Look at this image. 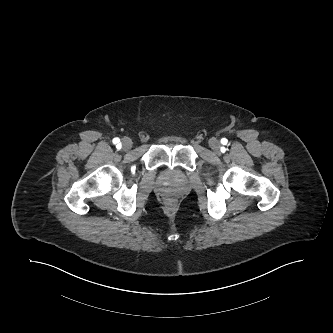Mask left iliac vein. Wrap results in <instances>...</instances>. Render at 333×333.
I'll use <instances>...</instances> for the list:
<instances>
[{"label": "left iliac vein", "mask_w": 333, "mask_h": 333, "mask_svg": "<svg viewBox=\"0 0 333 333\" xmlns=\"http://www.w3.org/2000/svg\"><path fill=\"white\" fill-rule=\"evenodd\" d=\"M209 145L211 147V149L215 152V153H219L220 152V147H221V144L220 142L215 139V138H212L209 142Z\"/></svg>", "instance_id": "obj_1"}]
</instances>
